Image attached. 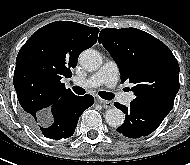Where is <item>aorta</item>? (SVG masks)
I'll use <instances>...</instances> for the list:
<instances>
[{
    "mask_svg": "<svg viewBox=\"0 0 190 165\" xmlns=\"http://www.w3.org/2000/svg\"><path fill=\"white\" fill-rule=\"evenodd\" d=\"M79 63L84 69L95 71L102 65V57L98 51L87 49L80 54ZM105 120L111 127H120L124 122V113L115 107L108 109L105 112Z\"/></svg>",
    "mask_w": 190,
    "mask_h": 165,
    "instance_id": "762f6f07",
    "label": "aorta"
}]
</instances>
